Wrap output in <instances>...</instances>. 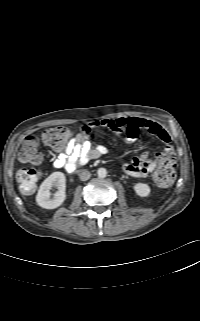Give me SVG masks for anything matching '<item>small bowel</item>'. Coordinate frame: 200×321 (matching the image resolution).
I'll return each mask as SVG.
<instances>
[{
  "label": "small bowel",
  "instance_id": "1",
  "mask_svg": "<svg viewBox=\"0 0 200 321\" xmlns=\"http://www.w3.org/2000/svg\"><path fill=\"white\" fill-rule=\"evenodd\" d=\"M98 128L110 129L127 143L134 142L138 138L140 130H145L162 141L165 145L164 152H173L171 137L159 123L141 117L109 118L84 124L81 132L69 140L64 149L60 150L53 161V166L73 172L78 166L106 154L108 149L105 145H92L88 140L90 133ZM160 154H157V157ZM155 166L156 163L149 157V153L144 152L125 163L122 169L127 175L145 177L154 170Z\"/></svg>",
  "mask_w": 200,
  "mask_h": 321
}]
</instances>
